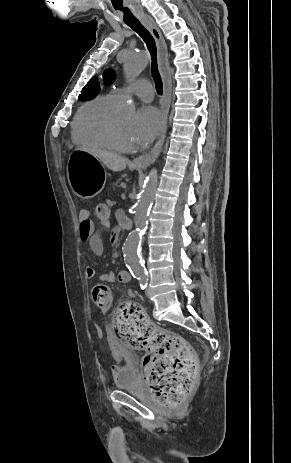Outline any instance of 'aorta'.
I'll use <instances>...</instances> for the list:
<instances>
[{
  "instance_id": "1",
  "label": "aorta",
  "mask_w": 291,
  "mask_h": 463,
  "mask_svg": "<svg viewBox=\"0 0 291 463\" xmlns=\"http://www.w3.org/2000/svg\"><path fill=\"white\" fill-rule=\"evenodd\" d=\"M148 63L149 58L146 53L134 50L129 51L124 60V73L127 81L130 83L133 82L147 67ZM125 109L128 114L134 113L135 106L131 98L127 100ZM157 178V170L152 169L146 178L135 207V229L129 233L123 246L124 261L131 273L137 277L145 276L139 248L142 236L147 228V217L154 199Z\"/></svg>"
}]
</instances>
